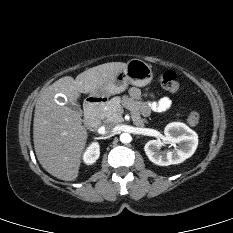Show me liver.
I'll return each mask as SVG.
<instances>
[{
	"instance_id": "obj_1",
	"label": "liver",
	"mask_w": 233,
	"mask_h": 233,
	"mask_svg": "<svg viewBox=\"0 0 233 233\" xmlns=\"http://www.w3.org/2000/svg\"><path fill=\"white\" fill-rule=\"evenodd\" d=\"M125 66L122 62L101 64L75 79L62 77L40 91L34 112L33 141L39 163L52 176L65 181L78 177L88 137L81 115L69 104L74 105L81 93L92 94L112 82ZM56 93L64 94L68 105L58 104L54 100Z\"/></svg>"
}]
</instances>
